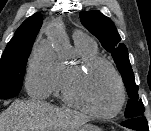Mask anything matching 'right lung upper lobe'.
I'll list each match as a JSON object with an SVG mask.
<instances>
[{
	"mask_svg": "<svg viewBox=\"0 0 151 131\" xmlns=\"http://www.w3.org/2000/svg\"><path fill=\"white\" fill-rule=\"evenodd\" d=\"M43 22L42 15L37 12L27 18L16 30L14 37L9 41L6 48L24 47L33 45L34 40L41 28Z\"/></svg>",
	"mask_w": 151,
	"mask_h": 131,
	"instance_id": "cb5924a9",
	"label": "right lung upper lobe"
}]
</instances>
